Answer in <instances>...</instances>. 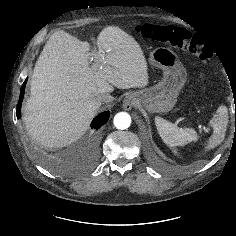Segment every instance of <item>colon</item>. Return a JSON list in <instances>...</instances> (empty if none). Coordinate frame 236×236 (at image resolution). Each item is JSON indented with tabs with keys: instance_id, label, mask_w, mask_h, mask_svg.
<instances>
[{
	"instance_id": "1",
	"label": "colon",
	"mask_w": 236,
	"mask_h": 236,
	"mask_svg": "<svg viewBox=\"0 0 236 236\" xmlns=\"http://www.w3.org/2000/svg\"><path fill=\"white\" fill-rule=\"evenodd\" d=\"M137 31L148 39L187 50L198 56L203 63L210 62L213 57L209 45L199 36L186 29L170 25L145 23L138 25Z\"/></svg>"
}]
</instances>
